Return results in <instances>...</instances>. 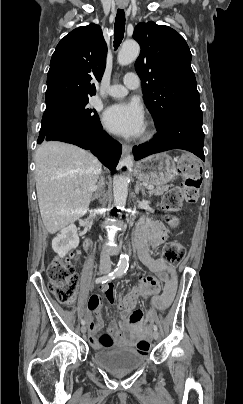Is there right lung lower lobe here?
<instances>
[{"label":"right lung lower lobe","mask_w":243,"mask_h":404,"mask_svg":"<svg viewBox=\"0 0 243 404\" xmlns=\"http://www.w3.org/2000/svg\"><path fill=\"white\" fill-rule=\"evenodd\" d=\"M62 141L90 150L111 171L119 161L122 146L113 140L100 125L65 122L56 126L43 141Z\"/></svg>","instance_id":"obj_1"}]
</instances>
